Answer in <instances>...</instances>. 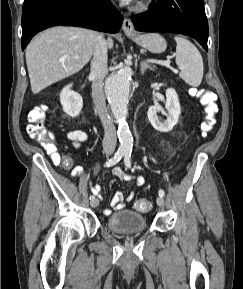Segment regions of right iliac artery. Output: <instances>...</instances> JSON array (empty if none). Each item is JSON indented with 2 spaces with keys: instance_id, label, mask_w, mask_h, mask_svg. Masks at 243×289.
Segmentation results:
<instances>
[{
  "instance_id": "right-iliac-artery-1",
  "label": "right iliac artery",
  "mask_w": 243,
  "mask_h": 289,
  "mask_svg": "<svg viewBox=\"0 0 243 289\" xmlns=\"http://www.w3.org/2000/svg\"><path fill=\"white\" fill-rule=\"evenodd\" d=\"M124 154H125L124 151H117V152L115 153V155L105 163L104 166H106V167H111V166L115 165L116 163H118V162L122 159V157L124 156ZM93 198H94V196L91 195V196H90V200L93 199Z\"/></svg>"
}]
</instances>
